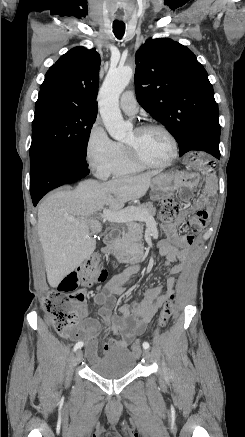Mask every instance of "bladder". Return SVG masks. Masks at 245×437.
I'll return each instance as SVG.
<instances>
[{"label":"bladder","mask_w":245,"mask_h":437,"mask_svg":"<svg viewBox=\"0 0 245 437\" xmlns=\"http://www.w3.org/2000/svg\"><path fill=\"white\" fill-rule=\"evenodd\" d=\"M136 357L127 349H115L93 360L90 369L105 378H117L134 369Z\"/></svg>","instance_id":"obj_1"}]
</instances>
